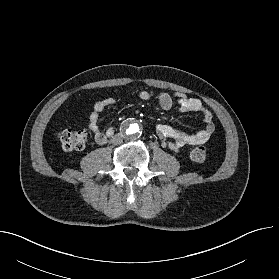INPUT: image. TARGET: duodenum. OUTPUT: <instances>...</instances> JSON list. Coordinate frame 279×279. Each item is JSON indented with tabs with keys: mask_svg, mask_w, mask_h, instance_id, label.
<instances>
[{
	"mask_svg": "<svg viewBox=\"0 0 279 279\" xmlns=\"http://www.w3.org/2000/svg\"><path fill=\"white\" fill-rule=\"evenodd\" d=\"M112 133H113V130L110 129V130L108 131V135H111Z\"/></svg>",
	"mask_w": 279,
	"mask_h": 279,
	"instance_id": "duodenum-1",
	"label": "duodenum"
}]
</instances>
